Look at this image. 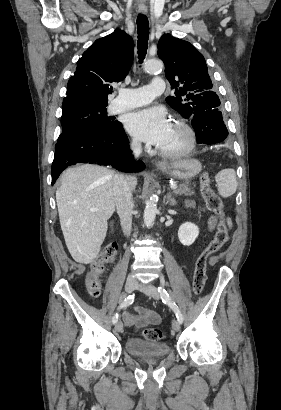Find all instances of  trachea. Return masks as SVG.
<instances>
[{
	"mask_svg": "<svg viewBox=\"0 0 281 410\" xmlns=\"http://www.w3.org/2000/svg\"><path fill=\"white\" fill-rule=\"evenodd\" d=\"M137 33H138V58L139 62L142 63L148 48V37H149V22L148 18L139 14L137 17Z\"/></svg>",
	"mask_w": 281,
	"mask_h": 410,
	"instance_id": "trachea-1",
	"label": "trachea"
}]
</instances>
